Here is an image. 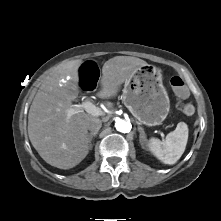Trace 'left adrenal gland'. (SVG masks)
<instances>
[{
    "label": "left adrenal gland",
    "instance_id": "left-adrenal-gland-1",
    "mask_svg": "<svg viewBox=\"0 0 221 221\" xmlns=\"http://www.w3.org/2000/svg\"><path fill=\"white\" fill-rule=\"evenodd\" d=\"M138 131L140 133L139 140H140L141 146L144 148V143L146 142L145 132L142 127H138Z\"/></svg>",
    "mask_w": 221,
    "mask_h": 221
}]
</instances>
